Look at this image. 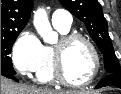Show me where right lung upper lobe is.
<instances>
[{
    "mask_svg": "<svg viewBox=\"0 0 121 94\" xmlns=\"http://www.w3.org/2000/svg\"><path fill=\"white\" fill-rule=\"evenodd\" d=\"M32 8V0H1V33L22 30Z\"/></svg>",
    "mask_w": 121,
    "mask_h": 94,
    "instance_id": "cb5924a9",
    "label": "right lung upper lobe"
}]
</instances>
